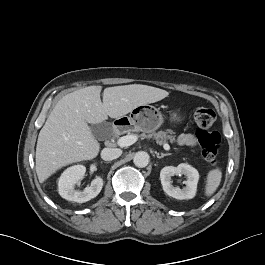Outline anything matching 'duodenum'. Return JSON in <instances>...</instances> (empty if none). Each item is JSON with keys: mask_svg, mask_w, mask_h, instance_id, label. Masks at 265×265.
Masks as SVG:
<instances>
[{"mask_svg": "<svg viewBox=\"0 0 265 265\" xmlns=\"http://www.w3.org/2000/svg\"><path fill=\"white\" fill-rule=\"evenodd\" d=\"M128 123L125 121H116L112 126V132L114 135L120 134Z\"/></svg>", "mask_w": 265, "mask_h": 265, "instance_id": "410a0bca", "label": "duodenum"}]
</instances>
